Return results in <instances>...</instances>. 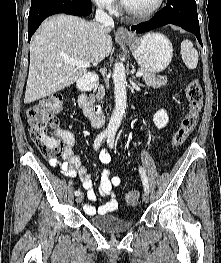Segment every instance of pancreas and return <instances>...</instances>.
Listing matches in <instances>:
<instances>
[{"instance_id": "obj_1", "label": "pancreas", "mask_w": 221, "mask_h": 263, "mask_svg": "<svg viewBox=\"0 0 221 263\" xmlns=\"http://www.w3.org/2000/svg\"><path fill=\"white\" fill-rule=\"evenodd\" d=\"M139 71L143 72V75H142L143 81L145 82L147 86H152L154 88H160L162 86H165L168 82L167 76H156L155 74L149 73L145 70H139ZM102 95H103V89L100 86L98 88L96 98L100 99L102 98Z\"/></svg>"}]
</instances>
